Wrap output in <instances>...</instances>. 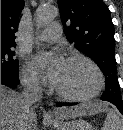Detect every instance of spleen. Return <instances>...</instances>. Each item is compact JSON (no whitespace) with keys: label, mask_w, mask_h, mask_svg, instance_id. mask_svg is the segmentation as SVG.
<instances>
[{"label":"spleen","mask_w":123,"mask_h":130,"mask_svg":"<svg viewBox=\"0 0 123 130\" xmlns=\"http://www.w3.org/2000/svg\"><path fill=\"white\" fill-rule=\"evenodd\" d=\"M102 130H123V123L116 112L111 109L107 111Z\"/></svg>","instance_id":"obj_1"}]
</instances>
